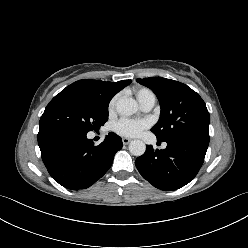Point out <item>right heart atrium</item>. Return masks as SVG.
Wrapping results in <instances>:
<instances>
[{"label": "right heart atrium", "instance_id": "d8ad5b80", "mask_svg": "<svg viewBox=\"0 0 248 248\" xmlns=\"http://www.w3.org/2000/svg\"><path fill=\"white\" fill-rule=\"evenodd\" d=\"M117 99H118V96H114V97L110 100V102H109V104H108V112H109L110 114L113 113L114 110H115V106H116Z\"/></svg>", "mask_w": 248, "mask_h": 248}]
</instances>
